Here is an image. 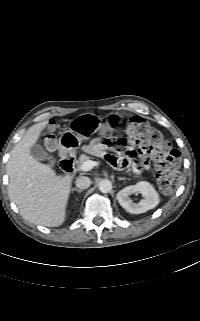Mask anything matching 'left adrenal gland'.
Returning a JSON list of instances; mask_svg holds the SVG:
<instances>
[{
  "mask_svg": "<svg viewBox=\"0 0 200 321\" xmlns=\"http://www.w3.org/2000/svg\"><path fill=\"white\" fill-rule=\"evenodd\" d=\"M118 180H126V178H121V177H119Z\"/></svg>",
  "mask_w": 200,
  "mask_h": 321,
  "instance_id": "left-adrenal-gland-1",
  "label": "left adrenal gland"
}]
</instances>
